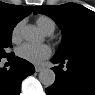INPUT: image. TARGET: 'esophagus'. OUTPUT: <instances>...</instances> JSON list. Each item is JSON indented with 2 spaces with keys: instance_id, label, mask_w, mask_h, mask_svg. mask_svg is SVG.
Masks as SVG:
<instances>
[{
  "instance_id": "1",
  "label": "esophagus",
  "mask_w": 95,
  "mask_h": 95,
  "mask_svg": "<svg viewBox=\"0 0 95 95\" xmlns=\"http://www.w3.org/2000/svg\"><path fill=\"white\" fill-rule=\"evenodd\" d=\"M43 70V67L42 66H35V71L36 72H40Z\"/></svg>"
}]
</instances>
